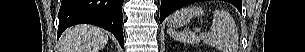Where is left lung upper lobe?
<instances>
[{"label": "left lung upper lobe", "instance_id": "1", "mask_svg": "<svg viewBox=\"0 0 305 52\" xmlns=\"http://www.w3.org/2000/svg\"><path fill=\"white\" fill-rule=\"evenodd\" d=\"M228 2L232 3L233 5H238L240 4V1L239 0H228Z\"/></svg>", "mask_w": 305, "mask_h": 52}]
</instances>
